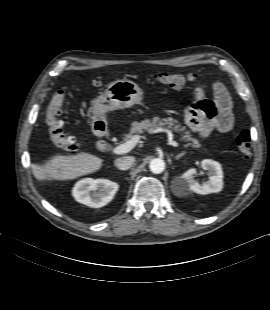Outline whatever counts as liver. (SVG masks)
Returning a JSON list of instances; mask_svg holds the SVG:
<instances>
[{
  "label": "liver",
  "mask_w": 270,
  "mask_h": 310,
  "mask_svg": "<svg viewBox=\"0 0 270 310\" xmlns=\"http://www.w3.org/2000/svg\"><path fill=\"white\" fill-rule=\"evenodd\" d=\"M103 160L95 155L80 152L76 155L52 156L43 165L33 164L34 177L40 181H67L98 171Z\"/></svg>",
  "instance_id": "obj_1"
}]
</instances>
